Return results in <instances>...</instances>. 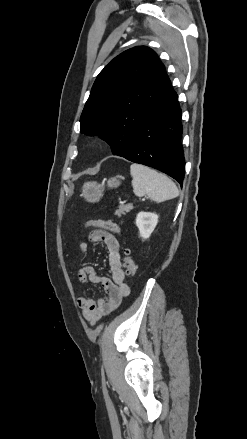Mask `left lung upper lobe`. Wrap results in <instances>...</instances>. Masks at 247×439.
Returning <instances> with one entry per match:
<instances>
[{
	"label": "left lung upper lobe",
	"mask_w": 247,
	"mask_h": 439,
	"mask_svg": "<svg viewBox=\"0 0 247 439\" xmlns=\"http://www.w3.org/2000/svg\"><path fill=\"white\" fill-rule=\"evenodd\" d=\"M165 67L144 46L115 57L98 75L80 118L81 133L99 135L114 155L132 145L140 124L173 93Z\"/></svg>",
	"instance_id": "1"
}]
</instances>
